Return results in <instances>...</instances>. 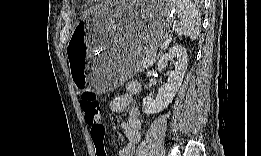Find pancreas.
<instances>
[{
  "instance_id": "pancreas-1",
  "label": "pancreas",
  "mask_w": 261,
  "mask_h": 156,
  "mask_svg": "<svg viewBox=\"0 0 261 156\" xmlns=\"http://www.w3.org/2000/svg\"><path fill=\"white\" fill-rule=\"evenodd\" d=\"M159 53L153 52V53H148L146 56L143 58V60L140 63V66L137 68V71L144 70L148 67H150L159 57Z\"/></svg>"
}]
</instances>
